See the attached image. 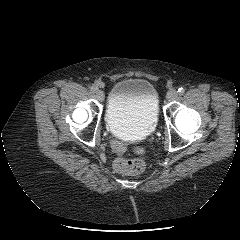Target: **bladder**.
Masks as SVG:
<instances>
[{"mask_svg": "<svg viewBox=\"0 0 240 240\" xmlns=\"http://www.w3.org/2000/svg\"><path fill=\"white\" fill-rule=\"evenodd\" d=\"M158 118V94L149 80L126 78L112 86L105 115L106 127L112 134L126 138L148 135Z\"/></svg>", "mask_w": 240, "mask_h": 240, "instance_id": "bladder-1", "label": "bladder"}]
</instances>
